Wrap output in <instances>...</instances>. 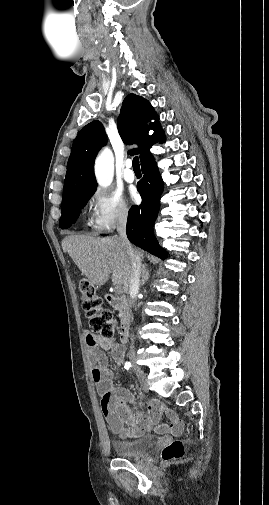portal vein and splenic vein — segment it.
Segmentation results:
<instances>
[{
  "mask_svg": "<svg viewBox=\"0 0 269 505\" xmlns=\"http://www.w3.org/2000/svg\"><path fill=\"white\" fill-rule=\"evenodd\" d=\"M115 292H116V293H121V292H122V287H121V285H116V286H115Z\"/></svg>",
  "mask_w": 269,
  "mask_h": 505,
  "instance_id": "obj_1",
  "label": "portal vein and splenic vein"
}]
</instances>
